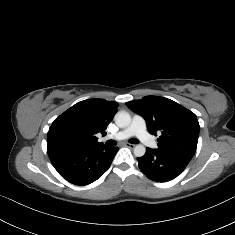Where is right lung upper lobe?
<instances>
[{
    "label": "right lung upper lobe",
    "instance_id": "obj_1",
    "mask_svg": "<svg viewBox=\"0 0 235 235\" xmlns=\"http://www.w3.org/2000/svg\"><path fill=\"white\" fill-rule=\"evenodd\" d=\"M118 103L104 99H89L76 103L61 114L47 134L48 146L97 147V133L105 129L117 112Z\"/></svg>",
    "mask_w": 235,
    "mask_h": 235
}]
</instances>
